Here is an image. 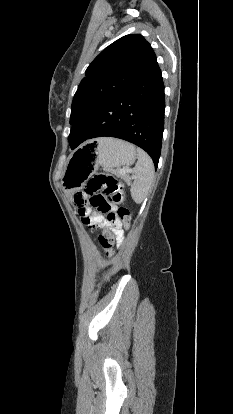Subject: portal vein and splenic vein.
<instances>
[{
    "label": "portal vein and splenic vein",
    "mask_w": 233,
    "mask_h": 414,
    "mask_svg": "<svg viewBox=\"0 0 233 414\" xmlns=\"http://www.w3.org/2000/svg\"><path fill=\"white\" fill-rule=\"evenodd\" d=\"M127 171H129V172H131V173H132V170H128V169H121V170H120V172H121V173H126Z\"/></svg>",
    "instance_id": "portal-vein-and-splenic-vein-1"
}]
</instances>
